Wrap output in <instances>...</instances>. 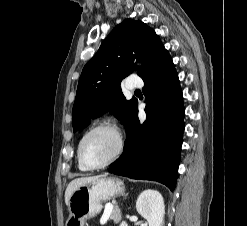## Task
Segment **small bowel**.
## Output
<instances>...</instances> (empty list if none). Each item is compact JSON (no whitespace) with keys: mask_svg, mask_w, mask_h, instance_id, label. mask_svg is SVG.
I'll use <instances>...</instances> for the list:
<instances>
[{"mask_svg":"<svg viewBox=\"0 0 247 226\" xmlns=\"http://www.w3.org/2000/svg\"><path fill=\"white\" fill-rule=\"evenodd\" d=\"M120 226H127V225H125V224H121Z\"/></svg>","mask_w":247,"mask_h":226,"instance_id":"c3829d8e","label":"small bowel"}]
</instances>
